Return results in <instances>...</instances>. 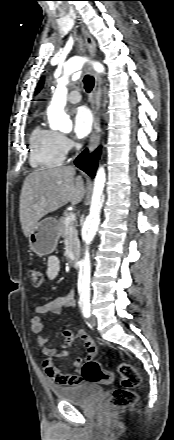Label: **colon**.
Instances as JSON below:
<instances>
[{
	"instance_id": "obj_1",
	"label": "colon",
	"mask_w": 174,
	"mask_h": 440,
	"mask_svg": "<svg viewBox=\"0 0 174 440\" xmlns=\"http://www.w3.org/2000/svg\"><path fill=\"white\" fill-rule=\"evenodd\" d=\"M27 276L31 283L39 286L44 281V275L39 267L32 266L27 270ZM47 365L44 364V370ZM122 387L116 389L108 400L111 410L122 409L135 405L138 399L136 389L143 385L138 370L129 363L122 362L118 366ZM81 379L89 383H111L113 374L102 369L100 364L93 359H87L81 369Z\"/></svg>"
}]
</instances>
